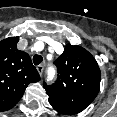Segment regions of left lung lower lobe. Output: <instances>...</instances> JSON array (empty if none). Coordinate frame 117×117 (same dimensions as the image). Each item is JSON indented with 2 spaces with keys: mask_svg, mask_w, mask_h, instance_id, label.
<instances>
[{
  "mask_svg": "<svg viewBox=\"0 0 117 117\" xmlns=\"http://www.w3.org/2000/svg\"><path fill=\"white\" fill-rule=\"evenodd\" d=\"M52 107L59 113L64 114V115H71V114H76L73 110L66 106H61V105H52Z\"/></svg>",
  "mask_w": 117,
  "mask_h": 117,
  "instance_id": "left-lung-lower-lobe-1",
  "label": "left lung lower lobe"
}]
</instances>
